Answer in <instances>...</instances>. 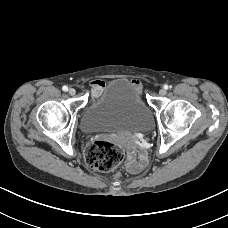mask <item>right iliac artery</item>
Segmentation results:
<instances>
[{"label":"right iliac artery","mask_w":228,"mask_h":228,"mask_svg":"<svg viewBox=\"0 0 228 228\" xmlns=\"http://www.w3.org/2000/svg\"><path fill=\"white\" fill-rule=\"evenodd\" d=\"M62 90L66 92V91H68V87L67 86H63Z\"/></svg>","instance_id":"obj_1"}]
</instances>
